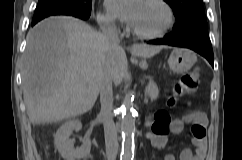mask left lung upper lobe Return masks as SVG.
Masks as SVG:
<instances>
[{"label":"left lung upper lobe","mask_w":242,"mask_h":160,"mask_svg":"<svg viewBox=\"0 0 242 160\" xmlns=\"http://www.w3.org/2000/svg\"><path fill=\"white\" fill-rule=\"evenodd\" d=\"M173 9L176 24L170 33L173 37H180L193 31H207L202 0H164Z\"/></svg>","instance_id":"5c2ea615"}]
</instances>
